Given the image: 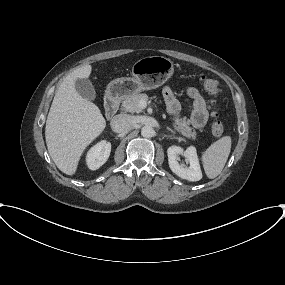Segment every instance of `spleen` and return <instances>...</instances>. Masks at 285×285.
Here are the masks:
<instances>
[{
  "mask_svg": "<svg viewBox=\"0 0 285 285\" xmlns=\"http://www.w3.org/2000/svg\"><path fill=\"white\" fill-rule=\"evenodd\" d=\"M231 137L223 136L202 154L204 171L208 178H216L223 170L231 151Z\"/></svg>",
  "mask_w": 285,
  "mask_h": 285,
  "instance_id": "obj_1",
  "label": "spleen"
}]
</instances>
